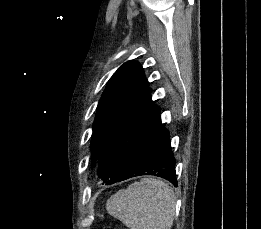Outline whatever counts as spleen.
Wrapping results in <instances>:
<instances>
[{
  "instance_id": "obj_1",
  "label": "spleen",
  "mask_w": 261,
  "mask_h": 229,
  "mask_svg": "<svg viewBox=\"0 0 261 229\" xmlns=\"http://www.w3.org/2000/svg\"><path fill=\"white\" fill-rule=\"evenodd\" d=\"M106 209L128 229H171L175 193L159 179H141L110 197Z\"/></svg>"
}]
</instances>
